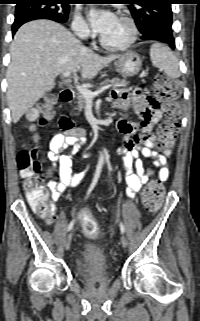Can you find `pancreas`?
I'll return each instance as SVG.
<instances>
[{
	"mask_svg": "<svg viewBox=\"0 0 200 321\" xmlns=\"http://www.w3.org/2000/svg\"><path fill=\"white\" fill-rule=\"evenodd\" d=\"M106 84H110L113 86V88H120V87H126L129 82H127L125 79H119V78H113V79H106L104 81ZM86 104V98L82 94L77 95V109L81 111Z\"/></svg>",
	"mask_w": 200,
	"mask_h": 321,
	"instance_id": "pancreas-1",
	"label": "pancreas"
}]
</instances>
